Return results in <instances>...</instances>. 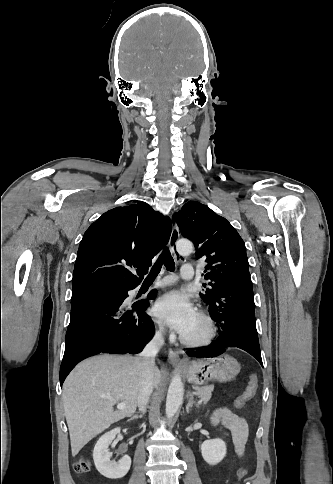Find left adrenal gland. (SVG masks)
Listing matches in <instances>:
<instances>
[{
  "instance_id": "1",
  "label": "left adrenal gland",
  "mask_w": 333,
  "mask_h": 484,
  "mask_svg": "<svg viewBox=\"0 0 333 484\" xmlns=\"http://www.w3.org/2000/svg\"><path fill=\"white\" fill-rule=\"evenodd\" d=\"M193 405H195L196 407H199V405H198V404H197L195 401H193V396L190 394V395L188 396V403H187V405H186V412H187V413H189L190 408H192V407H193Z\"/></svg>"
}]
</instances>
